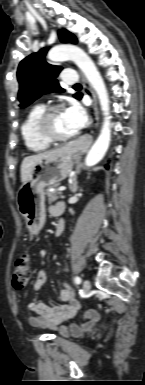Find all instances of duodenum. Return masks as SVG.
<instances>
[{
  "label": "duodenum",
  "mask_w": 145,
  "mask_h": 385,
  "mask_svg": "<svg viewBox=\"0 0 145 385\" xmlns=\"http://www.w3.org/2000/svg\"><path fill=\"white\" fill-rule=\"evenodd\" d=\"M64 228H65V221L59 220L55 227V234L57 236L60 235L63 232Z\"/></svg>",
  "instance_id": "1"
}]
</instances>
